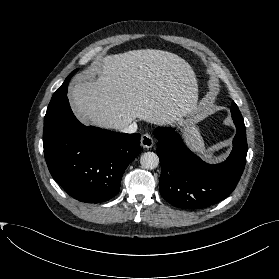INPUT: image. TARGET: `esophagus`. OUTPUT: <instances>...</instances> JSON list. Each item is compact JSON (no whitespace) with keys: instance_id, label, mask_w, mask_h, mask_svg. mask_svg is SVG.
Listing matches in <instances>:
<instances>
[{"instance_id":"esophagus-1","label":"esophagus","mask_w":279,"mask_h":279,"mask_svg":"<svg viewBox=\"0 0 279 279\" xmlns=\"http://www.w3.org/2000/svg\"><path fill=\"white\" fill-rule=\"evenodd\" d=\"M140 142H141V146L143 148H147V149L151 148L154 144V141L149 134H143L141 136V141Z\"/></svg>"}]
</instances>
